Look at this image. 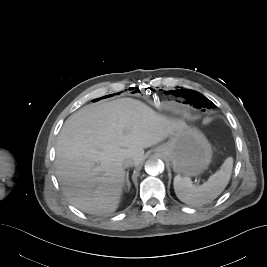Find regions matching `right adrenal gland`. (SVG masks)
<instances>
[{"label": "right adrenal gland", "instance_id": "obj_1", "mask_svg": "<svg viewBox=\"0 0 267 267\" xmlns=\"http://www.w3.org/2000/svg\"><path fill=\"white\" fill-rule=\"evenodd\" d=\"M127 186V191L130 190L131 184L129 181V172L126 173V179H125V183H124V189H126Z\"/></svg>", "mask_w": 267, "mask_h": 267}]
</instances>
